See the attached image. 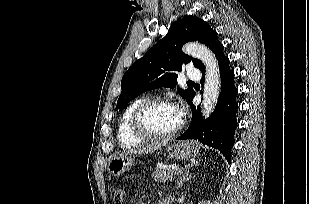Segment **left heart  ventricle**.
<instances>
[{"label":"left heart ventricle","mask_w":309,"mask_h":204,"mask_svg":"<svg viewBox=\"0 0 309 204\" xmlns=\"http://www.w3.org/2000/svg\"><path fill=\"white\" fill-rule=\"evenodd\" d=\"M180 119L181 116L176 107L157 105L144 114L143 124L152 133L165 134L173 130Z\"/></svg>","instance_id":"left-heart-ventricle-1"}]
</instances>
